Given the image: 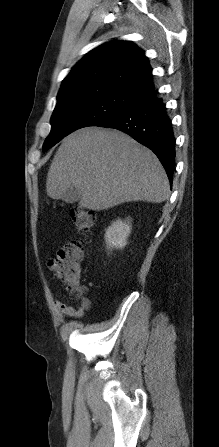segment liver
<instances>
[{"label":"liver","mask_w":219,"mask_h":447,"mask_svg":"<svg viewBox=\"0 0 219 447\" xmlns=\"http://www.w3.org/2000/svg\"><path fill=\"white\" fill-rule=\"evenodd\" d=\"M71 187L79 190L80 207L95 211L170 196L166 172L152 151L120 131L97 127L68 135L54 156L47 195L62 199Z\"/></svg>","instance_id":"liver-1"}]
</instances>
